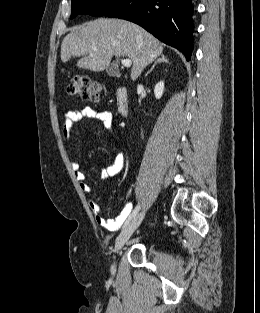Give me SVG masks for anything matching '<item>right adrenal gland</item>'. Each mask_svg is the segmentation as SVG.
<instances>
[{
	"instance_id": "2a0ac1e0",
	"label": "right adrenal gland",
	"mask_w": 260,
	"mask_h": 313,
	"mask_svg": "<svg viewBox=\"0 0 260 313\" xmlns=\"http://www.w3.org/2000/svg\"><path fill=\"white\" fill-rule=\"evenodd\" d=\"M161 62L168 63L169 61L165 55H161V57L154 62L152 68L146 73V76L155 68L157 63H161Z\"/></svg>"
}]
</instances>
